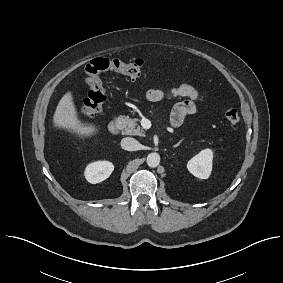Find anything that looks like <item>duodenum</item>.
Wrapping results in <instances>:
<instances>
[{
  "instance_id": "duodenum-1",
  "label": "duodenum",
  "mask_w": 283,
  "mask_h": 283,
  "mask_svg": "<svg viewBox=\"0 0 283 283\" xmlns=\"http://www.w3.org/2000/svg\"><path fill=\"white\" fill-rule=\"evenodd\" d=\"M108 131L111 135H117L120 131V121L118 117H114L109 125H108Z\"/></svg>"
}]
</instances>
